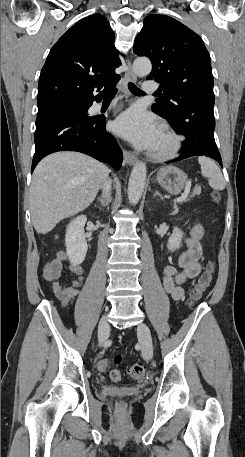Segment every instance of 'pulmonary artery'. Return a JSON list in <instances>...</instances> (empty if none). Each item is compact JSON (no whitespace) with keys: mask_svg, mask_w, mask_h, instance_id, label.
<instances>
[{"mask_svg":"<svg viewBox=\"0 0 245 457\" xmlns=\"http://www.w3.org/2000/svg\"><path fill=\"white\" fill-rule=\"evenodd\" d=\"M141 93L142 95H155L156 90L161 88V83L157 80H143L141 82ZM101 108V104H95L93 111L97 112Z\"/></svg>","mask_w":245,"mask_h":457,"instance_id":"e3ab8cb5","label":"pulmonary artery"}]
</instances>
